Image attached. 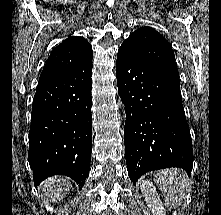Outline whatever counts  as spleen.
<instances>
[{
    "label": "spleen",
    "mask_w": 221,
    "mask_h": 215,
    "mask_svg": "<svg viewBox=\"0 0 221 215\" xmlns=\"http://www.w3.org/2000/svg\"><path fill=\"white\" fill-rule=\"evenodd\" d=\"M154 181L162 191L166 205L170 208H177L182 204L190 187L186 172L179 168L157 172Z\"/></svg>",
    "instance_id": "spleen-1"
}]
</instances>
